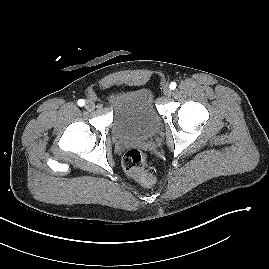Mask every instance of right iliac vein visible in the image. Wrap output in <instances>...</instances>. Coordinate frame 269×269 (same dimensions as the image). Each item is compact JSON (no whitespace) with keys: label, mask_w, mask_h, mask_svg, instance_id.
Returning <instances> with one entry per match:
<instances>
[{"label":"right iliac vein","mask_w":269,"mask_h":269,"mask_svg":"<svg viewBox=\"0 0 269 269\" xmlns=\"http://www.w3.org/2000/svg\"><path fill=\"white\" fill-rule=\"evenodd\" d=\"M85 108L89 111H92L95 108V103L92 100H88L86 102Z\"/></svg>","instance_id":"right-iliac-vein-1"}]
</instances>
